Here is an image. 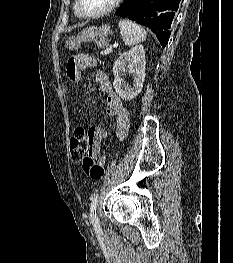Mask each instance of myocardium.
Instances as JSON below:
<instances>
[{
	"label": "myocardium",
	"instance_id": "f54148a6",
	"mask_svg": "<svg viewBox=\"0 0 233 263\" xmlns=\"http://www.w3.org/2000/svg\"><path fill=\"white\" fill-rule=\"evenodd\" d=\"M122 1L123 0H113L107 8L93 14H88L82 10L81 0H76L75 8L80 16L88 19H96L113 12L115 9H117V7L121 4Z\"/></svg>",
	"mask_w": 233,
	"mask_h": 263
}]
</instances>
